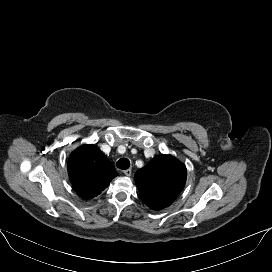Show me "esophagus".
Listing matches in <instances>:
<instances>
[{"mask_svg": "<svg viewBox=\"0 0 272 272\" xmlns=\"http://www.w3.org/2000/svg\"><path fill=\"white\" fill-rule=\"evenodd\" d=\"M131 173H132V170H131V169H126V170H124V174H125L126 176H131Z\"/></svg>", "mask_w": 272, "mask_h": 272, "instance_id": "esophagus-1", "label": "esophagus"}]
</instances>
